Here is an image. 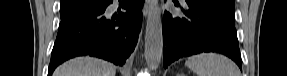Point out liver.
Returning <instances> with one entry per match:
<instances>
[{"label":"liver","mask_w":287,"mask_h":76,"mask_svg":"<svg viewBox=\"0 0 287 76\" xmlns=\"http://www.w3.org/2000/svg\"><path fill=\"white\" fill-rule=\"evenodd\" d=\"M116 67L93 57H77L59 66L53 76H115Z\"/></svg>","instance_id":"obj_1"}]
</instances>
